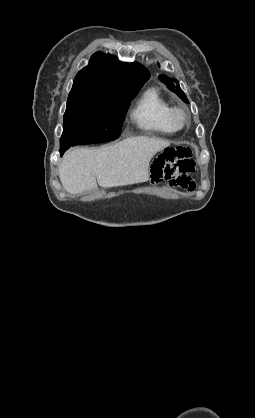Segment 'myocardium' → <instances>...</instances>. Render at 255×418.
I'll list each match as a JSON object with an SVG mask.
<instances>
[{
  "instance_id": "obj_1",
  "label": "myocardium",
  "mask_w": 255,
  "mask_h": 418,
  "mask_svg": "<svg viewBox=\"0 0 255 418\" xmlns=\"http://www.w3.org/2000/svg\"><path fill=\"white\" fill-rule=\"evenodd\" d=\"M188 121V115L182 107H172L169 113V122L175 130L182 129Z\"/></svg>"
}]
</instances>
